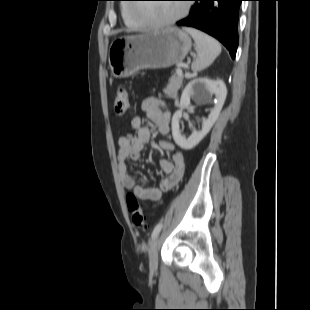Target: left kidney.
I'll return each instance as SVG.
<instances>
[{
	"mask_svg": "<svg viewBox=\"0 0 310 310\" xmlns=\"http://www.w3.org/2000/svg\"><path fill=\"white\" fill-rule=\"evenodd\" d=\"M213 94L216 96L217 102L214 108L211 109L208 119L203 122L202 129L192 132V134L186 138L181 134L179 121L182 117L183 109L188 108L190 105V97L195 95L198 102H204ZM226 95L227 89L225 83L221 80L214 81L203 78L195 80L187 85L181 96L180 109L175 112L172 117L173 139L180 148L190 150L207 135L220 114Z\"/></svg>",
	"mask_w": 310,
	"mask_h": 310,
	"instance_id": "left-kidney-1",
	"label": "left kidney"
}]
</instances>
